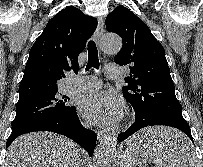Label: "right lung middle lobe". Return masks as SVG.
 <instances>
[{
  "instance_id": "right-lung-middle-lobe-1",
  "label": "right lung middle lobe",
  "mask_w": 203,
  "mask_h": 167,
  "mask_svg": "<svg viewBox=\"0 0 203 167\" xmlns=\"http://www.w3.org/2000/svg\"><path fill=\"white\" fill-rule=\"evenodd\" d=\"M68 99L60 97L58 90L27 100L16 105V116L12 124V132L30 124L59 117L72 112L75 107Z\"/></svg>"
}]
</instances>
